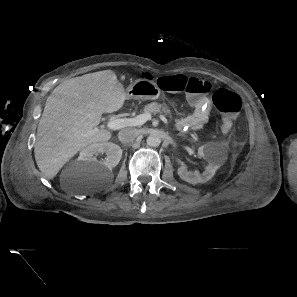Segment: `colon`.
Wrapping results in <instances>:
<instances>
[{
    "mask_svg": "<svg viewBox=\"0 0 297 297\" xmlns=\"http://www.w3.org/2000/svg\"><path fill=\"white\" fill-rule=\"evenodd\" d=\"M157 85L164 91L184 93L198 101L205 98L211 91V83L204 79L187 77L185 75L163 76L157 79ZM213 104L219 113V131L227 134L242 108V99L236 93L218 89L213 95Z\"/></svg>",
    "mask_w": 297,
    "mask_h": 297,
    "instance_id": "obj_1",
    "label": "colon"
}]
</instances>
